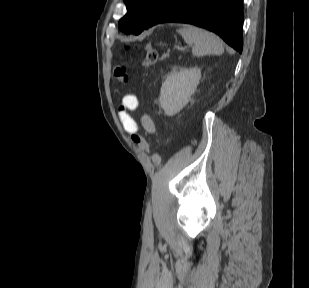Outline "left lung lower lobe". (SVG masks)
Listing matches in <instances>:
<instances>
[{
  "label": "left lung lower lobe",
  "instance_id": "obj_1",
  "mask_svg": "<svg viewBox=\"0 0 309 288\" xmlns=\"http://www.w3.org/2000/svg\"><path fill=\"white\" fill-rule=\"evenodd\" d=\"M243 19V0H165L136 35L160 23H188L215 32L241 53Z\"/></svg>",
  "mask_w": 309,
  "mask_h": 288
}]
</instances>
